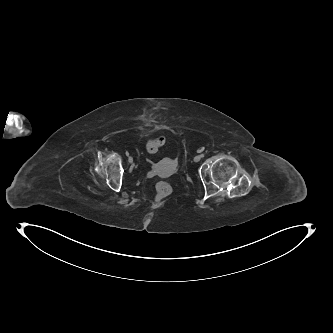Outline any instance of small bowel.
<instances>
[{"instance_id": "1", "label": "small bowel", "mask_w": 333, "mask_h": 333, "mask_svg": "<svg viewBox=\"0 0 333 333\" xmlns=\"http://www.w3.org/2000/svg\"><path fill=\"white\" fill-rule=\"evenodd\" d=\"M157 174V166H153L152 170L149 172V176H154Z\"/></svg>"}]
</instances>
